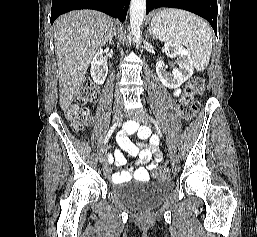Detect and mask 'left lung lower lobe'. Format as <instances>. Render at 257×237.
<instances>
[{
  "label": "left lung lower lobe",
  "instance_id": "1",
  "mask_svg": "<svg viewBox=\"0 0 257 237\" xmlns=\"http://www.w3.org/2000/svg\"><path fill=\"white\" fill-rule=\"evenodd\" d=\"M160 7L179 8L195 13L209 21L217 34V0H146V13Z\"/></svg>",
  "mask_w": 257,
  "mask_h": 237
}]
</instances>
